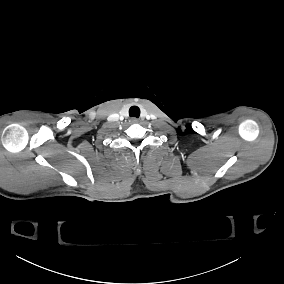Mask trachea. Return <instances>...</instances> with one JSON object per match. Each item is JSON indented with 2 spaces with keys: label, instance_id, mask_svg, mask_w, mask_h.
<instances>
[{
  "label": "trachea",
  "instance_id": "3493384b",
  "mask_svg": "<svg viewBox=\"0 0 284 284\" xmlns=\"http://www.w3.org/2000/svg\"><path fill=\"white\" fill-rule=\"evenodd\" d=\"M129 115L130 117H139L140 116V109L137 106H132L129 109Z\"/></svg>",
  "mask_w": 284,
  "mask_h": 284
}]
</instances>
